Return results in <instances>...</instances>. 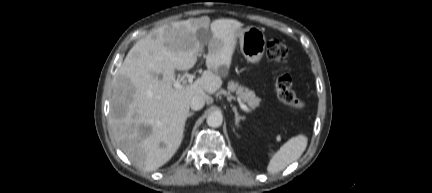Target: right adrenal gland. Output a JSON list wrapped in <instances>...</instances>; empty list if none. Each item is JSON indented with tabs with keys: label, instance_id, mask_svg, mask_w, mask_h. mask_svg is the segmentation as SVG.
Listing matches in <instances>:
<instances>
[{
	"label": "right adrenal gland",
	"instance_id": "2a0ac1e0",
	"mask_svg": "<svg viewBox=\"0 0 432 193\" xmlns=\"http://www.w3.org/2000/svg\"><path fill=\"white\" fill-rule=\"evenodd\" d=\"M193 114H194V112H189L188 117L192 116Z\"/></svg>",
	"mask_w": 432,
	"mask_h": 193
}]
</instances>
